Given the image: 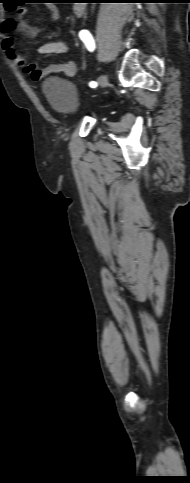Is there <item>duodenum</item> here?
Masks as SVG:
<instances>
[{"instance_id":"duodenum-1","label":"duodenum","mask_w":190,"mask_h":483,"mask_svg":"<svg viewBox=\"0 0 190 483\" xmlns=\"http://www.w3.org/2000/svg\"><path fill=\"white\" fill-rule=\"evenodd\" d=\"M82 3L84 2L81 0L76 2L75 8H74V13L76 17L81 16L84 11V6L82 5Z\"/></svg>"}]
</instances>
